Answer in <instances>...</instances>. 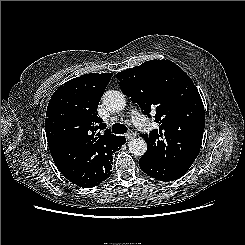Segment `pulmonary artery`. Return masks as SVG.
<instances>
[{"label": "pulmonary artery", "instance_id": "obj_1", "mask_svg": "<svg viewBox=\"0 0 245 245\" xmlns=\"http://www.w3.org/2000/svg\"><path fill=\"white\" fill-rule=\"evenodd\" d=\"M131 117H132V121H133L134 125L138 129L143 130V127L146 125V120L142 116V114L138 111H133L131 114Z\"/></svg>", "mask_w": 245, "mask_h": 245}]
</instances>
